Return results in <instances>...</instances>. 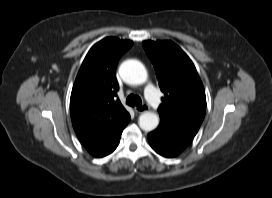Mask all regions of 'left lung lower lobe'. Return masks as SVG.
<instances>
[{"instance_id": "1", "label": "left lung lower lobe", "mask_w": 272, "mask_h": 198, "mask_svg": "<svg viewBox=\"0 0 272 198\" xmlns=\"http://www.w3.org/2000/svg\"><path fill=\"white\" fill-rule=\"evenodd\" d=\"M198 129L183 123L160 117V125L150 132L148 141L158 154L164 157H175L193 140Z\"/></svg>"}]
</instances>
